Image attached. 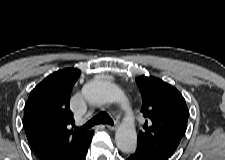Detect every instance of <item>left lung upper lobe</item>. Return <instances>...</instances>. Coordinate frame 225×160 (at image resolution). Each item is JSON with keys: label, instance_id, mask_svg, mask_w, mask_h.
Returning <instances> with one entry per match:
<instances>
[{"label": "left lung upper lobe", "instance_id": "1", "mask_svg": "<svg viewBox=\"0 0 225 160\" xmlns=\"http://www.w3.org/2000/svg\"><path fill=\"white\" fill-rule=\"evenodd\" d=\"M146 118L137 137V150L161 160L169 159L185 135L189 111L182 94L170 84L155 78L136 79Z\"/></svg>", "mask_w": 225, "mask_h": 160}]
</instances>
